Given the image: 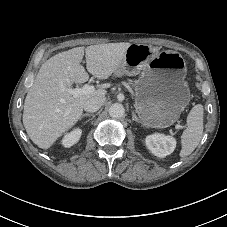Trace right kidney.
Here are the masks:
<instances>
[{"label":"right kidney","mask_w":227,"mask_h":227,"mask_svg":"<svg viewBox=\"0 0 227 227\" xmlns=\"http://www.w3.org/2000/svg\"><path fill=\"white\" fill-rule=\"evenodd\" d=\"M81 134H82V130L80 128H75L74 130H72L70 133H67L63 137L61 144L65 148H69L79 141Z\"/></svg>","instance_id":"ca27d5eb"}]
</instances>
